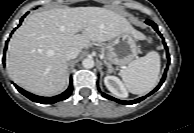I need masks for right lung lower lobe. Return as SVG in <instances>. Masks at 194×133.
<instances>
[{"label":"right lung lower lobe","instance_id":"1","mask_svg":"<svg viewBox=\"0 0 194 133\" xmlns=\"http://www.w3.org/2000/svg\"><path fill=\"white\" fill-rule=\"evenodd\" d=\"M26 15H24L20 22L23 20V18L25 17ZM6 47H7V43H6ZM4 57H5V53H4ZM15 85V84H14ZM15 87L18 89V91L20 93H22L24 96H26L27 98H29L30 100L34 101V102H38V103H42V104H53V103H56L58 101H61V100H65L67 99L71 93H72V81H70V85H69V88L63 92L62 94L60 95H57V96H54V97H41V96H37V95H34V94H31L25 90H23L22 88L18 87L17 85H15Z\"/></svg>","mask_w":194,"mask_h":133}]
</instances>
